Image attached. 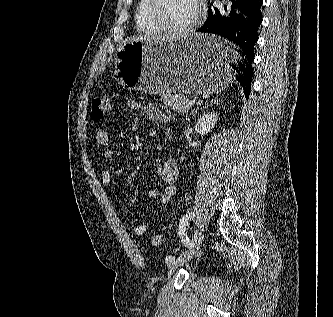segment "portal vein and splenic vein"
Here are the masks:
<instances>
[{"label":"portal vein and splenic vein","mask_w":333,"mask_h":317,"mask_svg":"<svg viewBox=\"0 0 333 317\" xmlns=\"http://www.w3.org/2000/svg\"><path fill=\"white\" fill-rule=\"evenodd\" d=\"M195 99H190V100H188V103L190 104V105H193V104H195Z\"/></svg>","instance_id":"obj_1"}]
</instances>
